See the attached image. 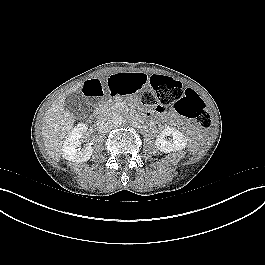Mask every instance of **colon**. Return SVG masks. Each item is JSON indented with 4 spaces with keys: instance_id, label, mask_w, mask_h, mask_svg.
Instances as JSON below:
<instances>
[{
    "instance_id": "colon-1",
    "label": "colon",
    "mask_w": 265,
    "mask_h": 265,
    "mask_svg": "<svg viewBox=\"0 0 265 265\" xmlns=\"http://www.w3.org/2000/svg\"><path fill=\"white\" fill-rule=\"evenodd\" d=\"M149 85L152 89L140 93L145 106L155 109L172 106L178 114L194 119L201 127H211L212 119L205 103L193 89L160 74L151 75Z\"/></svg>"
}]
</instances>
